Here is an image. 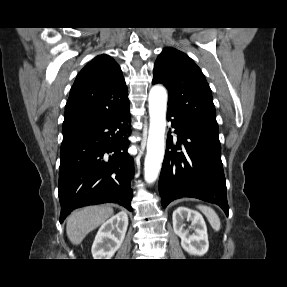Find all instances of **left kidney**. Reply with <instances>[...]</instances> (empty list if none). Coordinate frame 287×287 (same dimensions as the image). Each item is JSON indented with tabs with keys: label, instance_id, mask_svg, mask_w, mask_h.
Listing matches in <instances>:
<instances>
[{
	"label": "left kidney",
	"instance_id": "5707ae66",
	"mask_svg": "<svg viewBox=\"0 0 287 287\" xmlns=\"http://www.w3.org/2000/svg\"><path fill=\"white\" fill-rule=\"evenodd\" d=\"M191 221L192 234L184 229V220ZM173 229L181 238L182 248L192 255L202 256L209 248L207 227L202 215L186 207H179L173 212Z\"/></svg>",
	"mask_w": 287,
	"mask_h": 287
}]
</instances>
